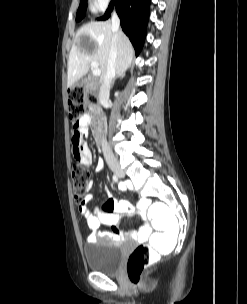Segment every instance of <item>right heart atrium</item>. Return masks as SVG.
I'll use <instances>...</instances> for the list:
<instances>
[{
    "instance_id": "right-heart-atrium-1",
    "label": "right heart atrium",
    "mask_w": 247,
    "mask_h": 304,
    "mask_svg": "<svg viewBox=\"0 0 247 304\" xmlns=\"http://www.w3.org/2000/svg\"><path fill=\"white\" fill-rule=\"evenodd\" d=\"M92 6L97 9V10H105L109 3L111 2V0H90Z\"/></svg>"
}]
</instances>
